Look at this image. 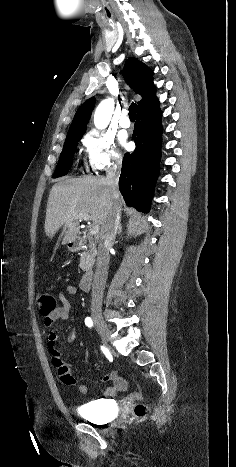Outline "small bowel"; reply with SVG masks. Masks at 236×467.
<instances>
[{"label":"small bowel","mask_w":236,"mask_h":467,"mask_svg":"<svg viewBox=\"0 0 236 467\" xmlns=\"http://www.w3.org/2000/svg\"><path fill=\"white\" fill-rule=\"evenodd\" d=\"M66 292L75 296L77 294V288L73 285L66 287ZM60 306L57 307L51 314L45 316L44 324L46 327H51L55 321H66L69 318V312L71 310V302L67 296L60 292L57 295ZM58 335L56 332L51 331L48 334V346L52 364L57 368L58 376L60 380L67 385H75L82 378V375L72 372L70 364L66 363L63 359V353L56 348V342ZM78 339V332L73 330L67 336V341L73 343ZM102 381L110 382L111 385L105 390L104 396H114L117 392L122 391L126 388V381L120 377L116 371L103 376ZM80 391L82 393H88L90 388L87 385H81Z\"/></svg>","instance_id":"small-bowel-1"}]
</instances>
